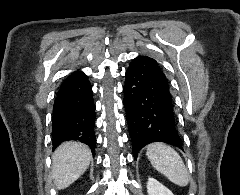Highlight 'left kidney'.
<instances>
[{"label":"left kidney","instance_id":"1","mask_svg":"<svg viewBox=\"0 0 240 195\" xmlns=\"http://www.w3.org/2000/svg\"><path fill=\"white\" fill-rule=\"evenodd\" d=\"M147 191L148 195H174L168 187L162 185V183L157 181V179H154V177H148Z\"/></svg>","mask_w":240,"mask_h":195}]
</instances>
